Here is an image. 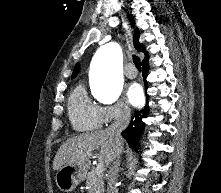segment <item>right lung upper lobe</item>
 <instances>
[{
  "mask_svg": "<svg viewBox=\"0 0 221 193\" xmlns=\"http://www.w3.org/2000/svg\"><path fill=\"white\" fill-rule=\"evenodd\" d=\"M133 41H134V47L138 50V51H142L145 53V58L143 60L142 63H145L148 61V55L145 51V48L142 44L139 43V30L136 29L135 30V33H134V36H133ZM80 71V66H79V63L75 66L74 68V71H73V75H72V78H74Z\"/></svg>",
  "mask_w": 221,
  "mask_h": 193,
  "instance_id": "1",
  "label": "right lung upper lobe"
}]
</instances>
